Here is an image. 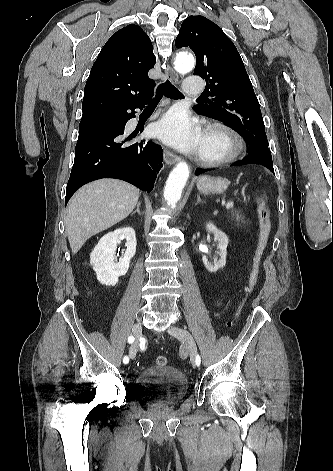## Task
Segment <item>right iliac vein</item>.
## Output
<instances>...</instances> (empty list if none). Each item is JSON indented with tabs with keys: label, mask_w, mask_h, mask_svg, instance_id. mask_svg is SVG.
Here are the masks:
<instances>
[{
	"label": "right iliac vein",
	"mask_w": 333,
	"mask_h": 471,
	"mask_svg": "<svg viewBox=\"0 0 333 471\" xmlns=\"http://www.w3.org/2000/svg\"><path fill=\"white\" fill-rule=\"evenodd\" d=\"M132 333L135 336V341L130 347L129 355L133 359L135 358L138 348H139V339L142 334V324L140 322L135 323L132 327Z\"/></svg>",
	"instance_id": "1"
}]
</instances>
